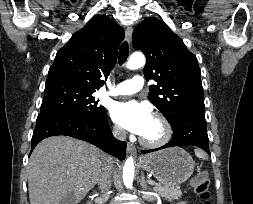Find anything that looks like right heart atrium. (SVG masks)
I'll list each match as a JSON object with an SVG mask.
<instances>
[{
    "label": "right heart atrium",
    "instance_id": "right-heart-atrium-1",
    "mask_svg": "<svg viewBox=\"0 0 253 204\" xmlns=\"http://www.w3.org/2000/svg\"><path fill=\"white\" fill-rule=\"evenodd\" d=\"M112 133L117 138H121L124 135V132H123L122 128L120 126H118V125H114L113 126Z\"/></svg>",
    "mask_w": 253,
    "mask_h": 204
}]
</instances>
